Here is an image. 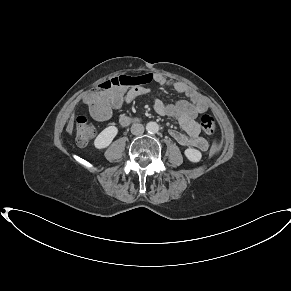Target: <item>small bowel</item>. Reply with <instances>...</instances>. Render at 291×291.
Segmentation results:
<instances>
[{
  "mask_svg": "<svg viewBox=\"0 0 291 291\" xmlns=\"http://www.w3.org/2000/svg\"><path fill=\"white\" fill-rule=\"evenodd\" d=\"M142 83L153 80L161 86L172 88L177 93L186 96L175 104H167L158 98L153 99V107L157 114L175 118L183 132L172 129L170 135L182 146L197 148L201 151L208 149V142L200 135V128L196 116L208 109L207 102L191 87L181 81L169 79L162 74H147L140 78ZM150 94V90L143 85H136L129 89L117 88L104 92L101 96L88 93L83 102L88 105L91 116L97 121H104L111 116L112 110H121L135 99Z\"/></svg>",
  "mask_w": 291,
  "mask_h": 291,
  "instance_id": "1",
  "label": "small bowel"
}]
</instances>
